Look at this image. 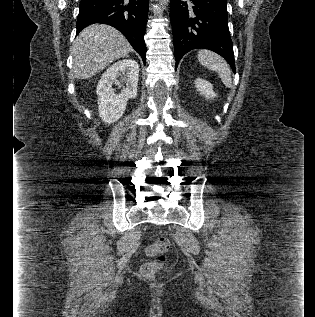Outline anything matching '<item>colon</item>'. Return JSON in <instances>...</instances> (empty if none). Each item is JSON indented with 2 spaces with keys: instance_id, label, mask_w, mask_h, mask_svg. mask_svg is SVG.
Segmentation results:
<instances>
[{
  "instance_id": "5ec220e1",
  "label": "colon",
  "mask_w": 315,
  "mask_h": 317,
  "mask_svg": "<svg viewBox=\"0 0 315 317\" xmlns=\"http://www.w3.org/2000/svg\"><path fill=\"white\" fill-rule=\"evenodd\" d=\"M170 241L161 237L148 247V254L154 259L145 263L141 268V274L147 279H153L162 270L166 262V253L169 251Z\"/></svg>"
}]
</instances>
